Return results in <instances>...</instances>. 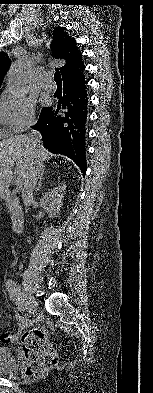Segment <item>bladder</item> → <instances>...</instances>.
<instances>
[{
	"mask_svg": "<svg viewBox=\"0 0 153 393\" xmlns=\"http://www.w3.org/2000/svg\"><path fill=\"white\" fill-rule=\"evenodd\" d=\"M13 361L11 360L10 352L5 347H0V373L11 371Z\"/></svg>",
	"mask_w": 153,
	"mask_h": 393,
	"instance_id": "obj_1",
	"label": "bladder"
}]
</instances>
